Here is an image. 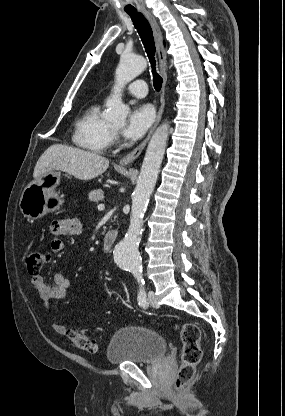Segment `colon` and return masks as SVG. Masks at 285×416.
I'll return each instance as SVG.
<instances>
[{
    "mask_svg": "<svg viewBox=\"0 0 285 416\" xmlns=\"http://www.w3.org/2000/svg\"><path fill=\"white\" fill-rule=\"evenodd\" d=\"M46 259L47 256L38 250L29 249L24 253L27 271L33 276L39 275ZM176 330L182 341V365L174 383V393L178 402L186 404L188 402L187 388L194 378L195 368L202 357L201 332L196 324L190 322L177 325ZM66 335L77 349L88 353L97 351V341L91 339L82 330L70 329Z\"/></svg>",
    "mask_w": 285,
    "mask_h": 416,
    "instance_id": "obj_1",
    "label": "colon"
}]
</instances>
